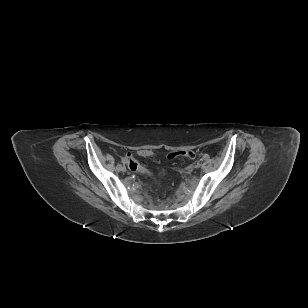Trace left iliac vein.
Returning a JSON list of instances; mask_svg holds the SVG:
<instances>
[{
	"mask_svg": "<svg viewBox=\"0 0 308 308\" xmlns=\"http://www.w3.org/2000/svg\"><path fill=\"white\" fill-rule=\"evenodd\" d=\"M201 166V164L200 163H196V164H194V168H199Z\"/></svg>",
	"mask_w": 308,
	"mask_h": 308,
	"instance_id": "left-iliac-vein-1",
	"label": "left iliac vein"
}]
</instances>
